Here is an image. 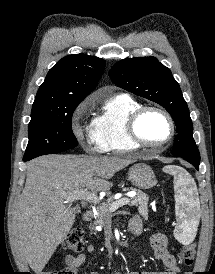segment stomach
Here are the masks:
<instances>
[{
  "label": "stomach",
  "instance_id": "stomach-1",
  "mask_svg": "<svg viewBox=\"0 0 215 274\" xmlns=\"http://www.w3.org/2000/svg\"><path fill=\"white\" fill-rule=\"evenodd\" d=\"M128 180L139 189H150L157 183L152 168L145 163H137L130 167Z\"/></svg>",
  "mask_w": 215,
  "mask_h": 274
}]
</instances>
